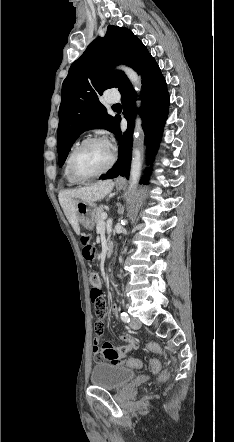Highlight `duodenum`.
<instances>
[{"label": "duodenum", "mask_w": 234, "mask_h": 442, "mask_svg": "<svg viewBox=\"0 0 234 442\" xmlns=\"http://www.w3.org/2000/svg\"><path fill=\"white\" fill-rule=\"evenodd\" d=\"M113 252V245L111 243L107 244L103 250V257H109Z\"/></svg>", "instance_id": "1"}]
</instances>
